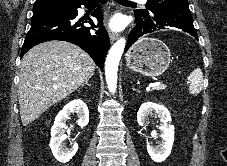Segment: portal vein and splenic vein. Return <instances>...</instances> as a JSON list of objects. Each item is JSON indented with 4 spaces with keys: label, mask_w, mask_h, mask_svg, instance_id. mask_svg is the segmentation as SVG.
<instances>
[{
    "label": "portal vein and splenic vein",
    "mask_w": 227,
    "mask_h": 166,
    "mask_svg": "<svg viewBox=\"0 0 227 166\" xmlns=\"http://www.w3.org/2000/svg\"><path fill=\"white\" fill-rule=\"evenodd\" d=\"M158 85H160L159 82H153V83L149 84V87H155V86H158Z\"/></svg>",
    "instance_id": "obj_1"
}]
</instances>
